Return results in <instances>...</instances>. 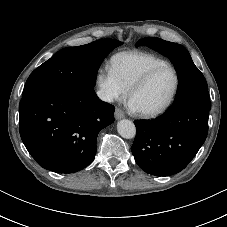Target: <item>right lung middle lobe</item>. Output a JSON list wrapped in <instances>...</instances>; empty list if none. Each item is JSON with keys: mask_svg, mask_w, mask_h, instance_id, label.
Listing matches in <instances>:
<instances>
[{"mask_svg": "<svg viewBox=\"0 0 227 227\" xmlns=\"http://www.w3.org/2000/svg\"><path fill=\"white\" fill-rule=\"evenodd\" d=\"M121 44L114 39H102L58 51L30 74L22 96L54 87L93 89L102 61Z\"/></svg>", "mask_w": 227, "mask_h": 227, "instance_id": "dd1d6c3e", "label": "right lung middle lobe"}]
</instances>
